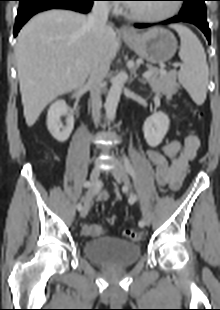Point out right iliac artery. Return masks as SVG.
Listing matches in <instances>:
<instances>
[{
  "label": "right iliac artery",
  "mask_w": 220,
  "mask_h": 310,
  "mask_svg": "<svg viewBox=\"0 0 220 310\" xmlns=\"http://www.w3.org/2000/svg\"><path fill=\"white\" fill-rule=\"evenodd\" d=\"M84 186L88 188V187L90 186V182H85V183H84ZM82 208H83V207H82V205H81L80 203L77 204V209H78L79 211H81Z\"/></svg>",
  "instance_id": "82829eb1"
}]
</instances>
